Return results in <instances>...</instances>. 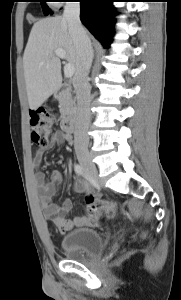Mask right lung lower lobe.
<instances>
[{"mask_svg": "<svg viewBox=\"0 0 181 300\" xmlns=\"http://www.w3.org/2000/svg\"><path fill=\"white\" fill-rule=\"evenodd\" d=\"M113 1L115 0H79L82 23L105 48L109 47L114 33Z\"/></svg>", "mask_w": 181, "mask_h": 300, "instance_id": "1", "label": "right lung lower lobe"}]
</instances>
